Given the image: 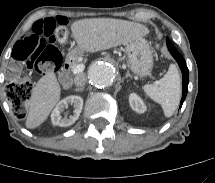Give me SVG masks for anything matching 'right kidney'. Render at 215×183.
<instances>
[{"label": "right kidney", "instance_id": "ca27d5eb", "mask_svg": "<svg viewBox=\"0 0 215 183\" xmlns=\"http://www.w3.org/2000/svg\"><path fill=\"white\" fill-rule=\"evenodd\" d=\"M69 104L73 105L74 108L73 115H70L69 117L67 116L62 117L64 109L67 108ZM82 107L83 99L80 96L72 95L64 98L56 105L51 114L52 124L61 127L72 125L73 123H75L76 120H78Z\"/></svg>", "mask_w": 215, "mask_h": 183}]
</instances>
